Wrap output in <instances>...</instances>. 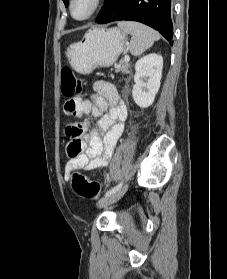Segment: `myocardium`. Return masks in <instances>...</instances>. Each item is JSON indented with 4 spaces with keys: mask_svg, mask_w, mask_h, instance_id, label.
I'll return each mask as SVG.
<instances>
[{
    "mask_svg": "<svg viewBox=\"0 0 227 279\" xmlns=\"http://www.w3.org/2000/svg\"><path fill=\"white\" fill-rule=\"evenodd\" d=\"M74 2H75V0L69 1V13H70V16L76 21H85V20L90 19L93 15H95L98 12V10L101 8V5H102V0H91V8H90L89 12L84 17L77 18L74 16L73 10H72Z\"/></svg>",
    "mask_w": 227,
    "mask_h": 279,
    "instance_id": "f54148a6",
    "label": "myocardium"
}]
</instances>
